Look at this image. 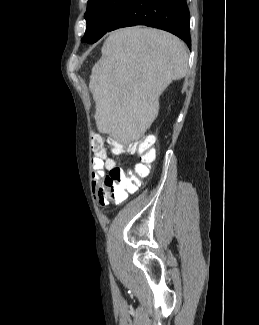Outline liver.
I'll return each mask as SVG.
<instances>
[{
    "instance_id": "liver-1",
    "label": "liver",
    "mask_w": 259,
    "mask_h": 325,
    "mask_svg": "<svg viewBox=\"0 0 259 325\" xmlns=\"http://www.w3.org/2000/svg\"><path fill=\"white\" fill-rule=\"evenodd\" d=\"M93 66L89 89L102 134L129 144L144 136L159 112V97L188 71L186 45L171 33L141 27L112 32Z\"/></svg>"
}]
</instances>
